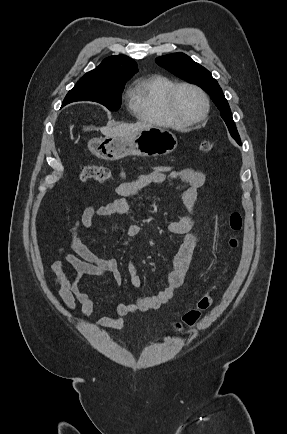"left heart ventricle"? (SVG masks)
<instances>
[{"instance_id":"obj_1","label":"left heart ventricle","mask_w":287,"mask_h":434,"mask_svg":"<svg viewBox=\"0 0 287 434\" xmlns=\"http://www.w3.org/2000/svg\"><path fill=\"white\" fill-rule=\"evenodd\" d=\"M175 107L179 115L185 119H195L203 112V103L199 95L188 88L178 91L175 100Z\"/></svg>"}]
</instances>
